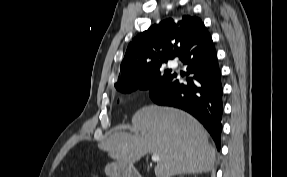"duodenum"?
Masks as SVG:
<instances>
[{
	"label": "duodenum",
	"mask_w": 287,
	"mask_h": 177,
	"mask_svg": "<svg viewBox=\"0 0 287 177\" xmlns=\"http://www.w3.org/2000/svg\"><path fill=\"white\" fill-rule=\"evenodd\" d=\"M119 172L125 177H142L136 169L130 167L122 168Z\"/></svg>",
	"instance_id": "1"
}]
</instances>
